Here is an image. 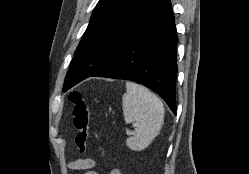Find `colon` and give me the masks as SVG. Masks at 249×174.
<instances>
[{
  "instance_id": "1",
  "label": "colon",
  "mask_w": 249,
  "mask_h": 174,
  "mask_svg": "<svg viewBox=\"0 0 249 174\" xmlns=\"http://www.w3.org/2000/svg\"><path fill=\"white\" fill-rule=\"evenodd\" d=\"M69 99L73 104V124L76 129L74 144L80 153H85L90 135L89 107L80 92H72Z\"/></svg>"
}]
</instances>
